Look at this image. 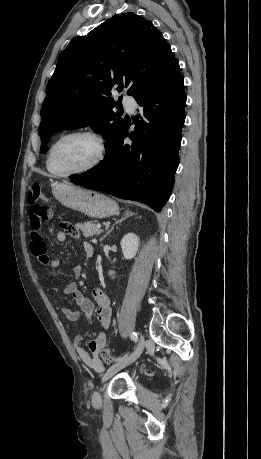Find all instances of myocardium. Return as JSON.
<instances>
[{
	"label": "myocardium",
	"mask_w": 261,
	"mask_h": 459,
	"mask_svg": "<svg viewBox=\"0 0 261 459\" xmlns=\"http://www.w3.org/2000/svg\"><path fill=\"white\" fill-rule=\"evenodd\" d=\"M73 136H84V137H87V138L91 139L93 141L94 145H95V148H96L95 155H94L93 159L88 164H86L85 166H83V167H81L79 169H76V170H73V171H70V172H67V173H56L51 169V165H50L52 153H53V151H54V149H55V147L57 146L58 143H60L62 140L66 139V138L73 137ZM105 155H106V145H105V142H104L103 138L98 133H96V132H94L92 130H88V129L70 130V131H67V132L62 133L61 135H59L51 143V145H50V147L48 149V152H47L46 168L52 175H54L56 177L68 178V177H71V176L84 174V173H87V172L95 169L104 160Z\"/></svg>",
	"instance_id": "myocardium-1"
}]
</instances>
